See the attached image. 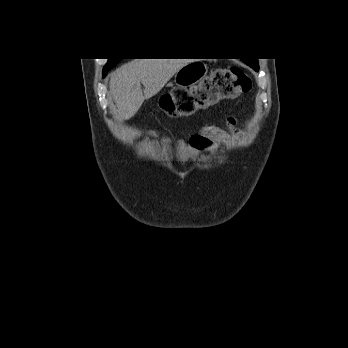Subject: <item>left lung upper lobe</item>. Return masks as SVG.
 Returning a JSON list of instances; mask_svg holds the SVG:
<instances>
[{
	"instance_id": "1",
	"label": "left lung upper lobe",
	"mask_w": 348,
	"mask_h": 348,
	"mask_svg": "<svg viewBox=\"0 0 348 348\" xmlns=\"http://www.w3.org/2000/svg\"><path fill=\"white\" fill-rule=\"evenodd\" d=\"M247 65L252 67L255 71L259 70V65L257 59H248V60H243Z\"/></svg>"
}]
</instances>
